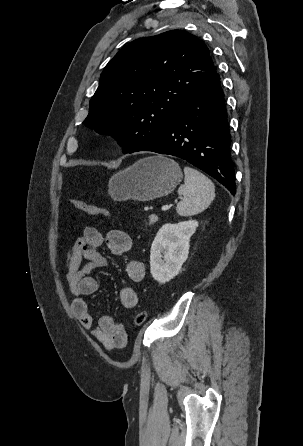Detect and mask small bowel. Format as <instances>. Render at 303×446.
I'll use <instances>...</instances> for the list:
<instances>
[{"mask_svg":"<svg viewBox=\"0 0 303 446\" xmlns=\"http://www.w3.org/2000/svg\"><path fill=\"white\" fill-rule=\"evenodd\" d=\"M104 243L111 253L122 255L130 250L132 239L128 233L120 229H113L104 237L97 228L87 226L67 252L65 265L66 280L72 294L73 313L82 326L110 351L126 347L127 332L110 314L101 315L95 323L85 299L99 288L98 280L91 273L107 265L106 258L99 252ZM126 273L131 283L142 281L146 273L144 262L139 259L129 260ZM120 302L126 309L136 307L138 297L130 284L120 290Z\"/></svg>","mask_w":303,"mask_h":446,"instance_id":"c3829d8e","label":"small bowel"}]
</instances>
